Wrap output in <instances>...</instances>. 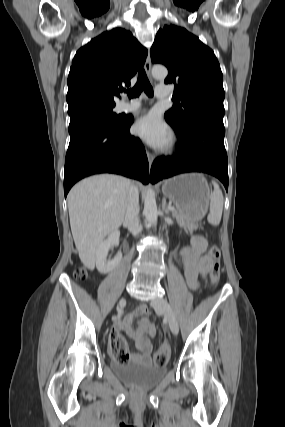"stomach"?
<instances>
[{"label": "stomach", "instance_id": "stomach-1", "mask_svg": "<svg viewBox=\"0 0 285 427\" xmlns=\"http://www.w3.org/2000/svg\"><path fill=\"white\" fill-rule=\"evenodd\" d=\"M162 192L190 222L200 221L207 213L211 192L202 174H182L165 180Z\"/></svg>", "mask_w": 285, "mask_h": 427}]
</instances>
